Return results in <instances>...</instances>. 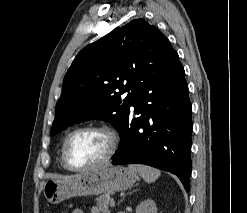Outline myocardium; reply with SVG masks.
<instances>
[{
  "mask_svg": "<svg viewBox=\"0 0 247 213\" xmlns=\"http://www.w3.org/2000/svg\"><path fill=\"white\" fill-rule=\"evenodd\" d=\"M83 131H96V132L103 133L104 135L107 136V138L109 140V147H108L106 155L99 162L94 163V164L89 165V166H85V167H76V166H73L68 160L67 144L73 135H75L79 132H83ZM117 149H118V137H117L116 133L111 128H109L107 126H103V125L80 126V127L73 129L72 131H70L66 135V137L64 138V141H63V144L61 147V161H62V164L64 165V167L70 171L87 172V171L101 168V167L107 165L108 163H110V161L113 159L114 155L116 154Z\"/></svg>",
  "mask_w": 247,
  "mask_h": 213,
  "instance_id": "obj_1",
  "label": "myocardium"
}]
</instances>
